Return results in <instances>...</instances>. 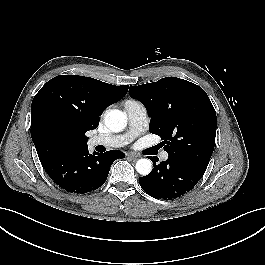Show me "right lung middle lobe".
I'll list each match as a JSON object with an SVG mask.
<instances>
[{"mask_svg": "<svg viewBox=\"0 0 265 265\" xmlns=\"http://www.w3.org/2000/svg\"><path fill=\"white\" fill-rule=\"evenodd\" d=\"M67 152L68 146L65 136L54 130H46L43 135L40 159L48 160Z\"/></svg>", "mask_w": 265, "mask_h": 265, "instance_id": "dd1d6c3e", "label": "right lung middle lobe"}]
</instances>
